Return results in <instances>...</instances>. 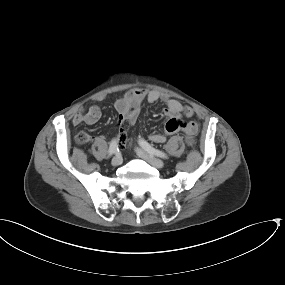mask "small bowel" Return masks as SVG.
<instances>
[{
  "mask_svg": "<svg viewBox=\"0 0 285 285\" xmlns=\"http://www.w3.org/2000/svg\"><path fill=\"white\" fill-rule=\"evenodd\" d=\"M146 100L149 103L162 101L165 105L164 114L167 117L165 130L167 134H175L183 132L187 140L193 137L197 131V124L194 122H183L182 112L183 105L177 99L171 98L162 94L157 90L146 91L143 89H131L115 101V109L118 113L117 127H118V143H122L125 134V124H134L141 110L142 102ZM102 116V110L99 106H90L87 110L79 109L72 115V122L74 124H94ZM86 132H81L78 135ZM77 135V137H78ZM91 139L90 135L87 134ZM151 141L155 143H163L166 140V135L161 133H152L150 135Z\"/></svg>",
  "mask_w": 285,
  "mask_h": 285,
  "instance_id": "obj_1",
  "label": "small bowel"
}]
</instances>
